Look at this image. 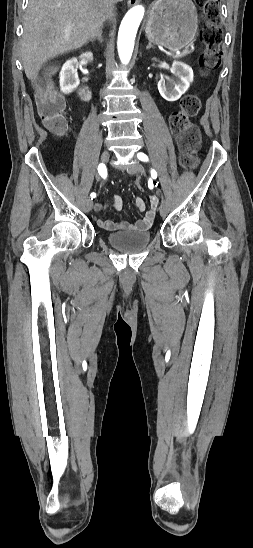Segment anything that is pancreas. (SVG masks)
I'll use <instances>...</instances> for the list:
<instances>
[{
    "label": "pancreas",
    "instance_id": "obj_1",
    "mask_svg": "<svg viewBox=\"0 0 253 548\" xmlns=\"http://www.w3.org/2000/svg\"><path fill=\"white\" fill-rule=\"evenodd\" d=\"M188 54H189V51H184V52H183L181 55H179L178 57H184V56H186V55H188Z\"/></svg>",
    "mask_w": 253,
    "mask_h": 548
}]
</instances>
